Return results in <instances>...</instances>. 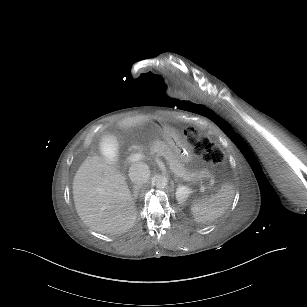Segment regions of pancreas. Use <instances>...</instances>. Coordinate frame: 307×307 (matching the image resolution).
Instances as JSON below:
<instances>
[{"instance_id": "obj_1", "label": "pancreas", "mask_w": 307, "mask_h": 307, "mask_svg": "<svg viewBox=\"0 0 307 307\" xmlns=\"http://www.w3.org/2000/svg\"><path fill=\"white\" fill-rule=\"evenodd\" d=\"M151 151L153 153L160 154L167 158L168 162L170 165H172L173 171L177 172L178 175L183 176L184 179L189 180V179H195L197 181L202 180L203 175L200 172H189L186 170V168L181 167L180 164H178V159L173 155V151L170 148H167V145L163 141H156L155 145L151 148Z\"/></svg>"}]
</instances>
